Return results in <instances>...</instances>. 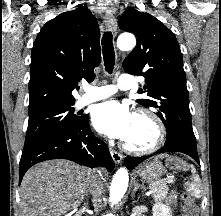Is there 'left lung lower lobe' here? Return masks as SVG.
Instances as JSON below:
<instances>
[{"instance_id":"1","label":"left lung lower lobe","mask_w":221,"mask_h":216,"mask_svg":"<svg viewBox=\"0 0 221 216\" xmlns=\"http://www.w3.org/2000/svg\"><path fill=\"white\" fill-rule=\"evenodd\" d=\"M164 152H182L184 154L189 155L192 157L198 164H199V157L197 153L196 143L188 141V140H182L177 139L175 141H166L165 145L156 151L155 153L143 156V157H126L125 158V165L128 169H132L137 164L141 163L145 159Z\"/></svg>"}]
</instances>
